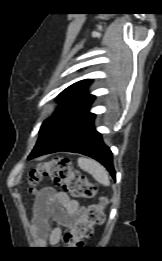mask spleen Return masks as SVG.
I'll return each mask as SVG.
<instances>
[{"mask_svg":"<svg viewBox=\"0 0 162 261\" xmlns=\"http://www.w3.org/2000/svg\"><path fill=\"white\" fill-rule=\"evenodd\" d=\"M78 166L91 174L94 179L104 186H109V176L106 169L97 161L85 157L78 158Z\"/></svg>","mask_w":162,"mask_h":261,"instance_id":"3e777b00","label":"spleen"}]
</instances>
